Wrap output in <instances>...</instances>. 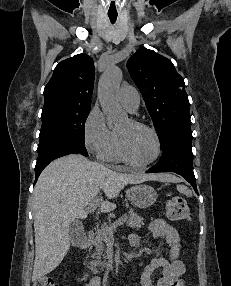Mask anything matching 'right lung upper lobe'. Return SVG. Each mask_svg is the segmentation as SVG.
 I'll return each mask as SVG.
<instances>
[{"label":"right lung upper lobe","instance_id":"obj_1","mask_svg":"<svg viewBox=\"0 0 231 286\" xmlns=\"http://www.w3.org/2000/svg\"><path fill=\"white\" fill-rule=\"evenodd\" d=\"M94 75L93 60L86 54H78L60 62L44 89V106H90Z\"/></svg>","mask_w":231,"mask_h":286}]
</instances>
